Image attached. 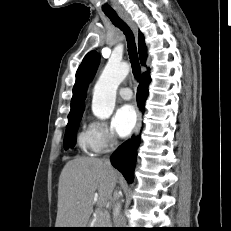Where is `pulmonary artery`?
<instances>
[{
    "label": "pulmonary artery",
    "instance_id": "e3ab8cb5",
    "mask_svg": "<svg viewBox=\"0 0 231 231\" xmlns=\"http://www.w3.org/2000/svg\"><path fill=\"white\" fill-rule=\"evenodd\" d=\"M119 95L125 99L129 100L132 98V90L128 87H122L119 89Z\"/></svg>",
    "mask_w": 231,
    "mask_h": 231
}]
</instances>
